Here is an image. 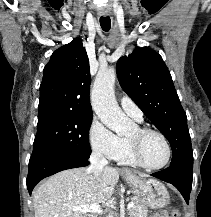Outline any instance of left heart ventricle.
<instances>
[{"label": "left heart ventricle", "instance_id": "left-heart-ventricle-1", "mask_svg": "<svg viewBox=\"0 0 211 217\" xmlns=\"http://www.w3.org/2000/svg\"><path fill=\"white\" fill-rule=\"evenodd\" d=\"M136 135L137 129L129 136V138H134ZM141 153L144 161L148 165L158 166L166 160L167 148L160 136L148 134L141 142Z\"/></svg>", "mask_w": 211, "mask_h": 217}]
</instances>
